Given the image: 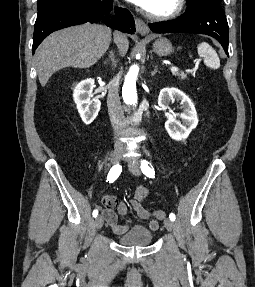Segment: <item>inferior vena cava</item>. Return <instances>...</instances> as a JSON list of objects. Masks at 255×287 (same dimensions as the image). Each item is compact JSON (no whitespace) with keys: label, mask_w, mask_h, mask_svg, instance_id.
<instances>
[{"label":"inferior vena cava","mask_w":255,"mask_h":287,"mask_svg":"<svg viewBox=\"0 0 255 287\" xmlns=\"http://www.w3.org/2000/svg\"><path fill=\"white\" fill-rule=\"evenodd\" d=\"M116 34H119V32H115L114 36H116ZM120 78L121 72L120 74H117V76H115V78H113L111 82H109V92L107 98L108 112L116 138H118L119 132H122L125 126L124 110L120 104V98L118 94ZM115 147H124V145L122 144V142H119V140H117V142H115Z\"/></svg>","instance_id":"1"}]
</instances>
